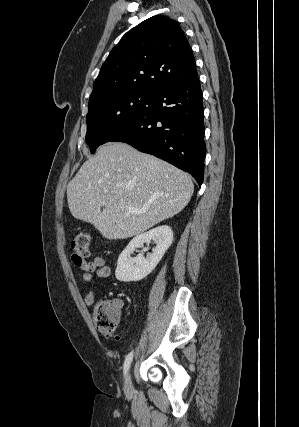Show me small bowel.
I'll use <instances>...</instances> for the list:
<instances>
[{"instance_id": "small-bowel-1", "label": "small bowel", "mask_w": 299, "mask_h": 427, "mask_svg": "<svg viewBox=\"0 0 299 427\" xmlns=\"http://www.w3.org/2000/svg\"><path fill=\"white\" fill-rule=\"evenodd\" d=\"M74 263L79 266L82 272V277L84 281L88 284H93L100 279L107 278L111 274L110 267L106 265L104 258L100 256L95 257L94 260L91 262ZM95 298V292L93 290H90L85 295V304L88 306L92 305L95 302ZM117 304L121 306L122 302L118 301Z\"/></svg>"}]
</instances>
